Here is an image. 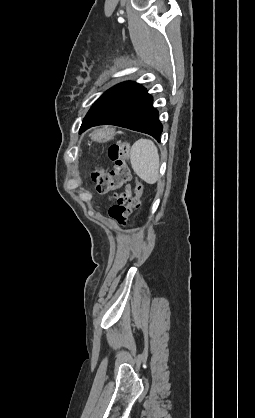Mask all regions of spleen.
Segmentation results:
<instances>
[{"instance_id": "spleen-1", "label": "spleen", "mask_w": 255, "mask_h": 418, "mask_svg": "<svg viewBox=\"0 0 255 418\" xmlns=\"http://www.w3.org/2000/svg\"><path fill=\"white\" fill-rule=\"evenodd\" d=\"M130 162L134 172L146 183L155 184L159 179V154L155 144L139 139L131 147Z\"/></svg>"}]
</instances>
